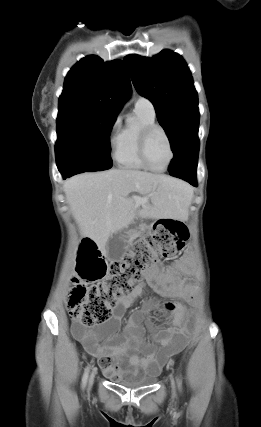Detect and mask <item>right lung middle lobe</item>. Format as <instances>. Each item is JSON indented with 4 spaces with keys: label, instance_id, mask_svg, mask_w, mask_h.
I'll return each mask as SVG.
<instances>
[{
    "label": "right lung middle lobe",
    "instance_id": "obj_1",
    "mask_svg": "<svg viewBox=\"0 0 261 427\" xmlns=\"http://www.w3.org/2000/svg\"><path fill=\"white\" fill-rule=\"evenodd\" d=\"M116 117L115 114L85 108L59 111L55 146L58 170L69 167L111 168L109 135Z\"/></svg>",
    "mask_w": 261,
    "mask_h": 427
}]
</instances>
